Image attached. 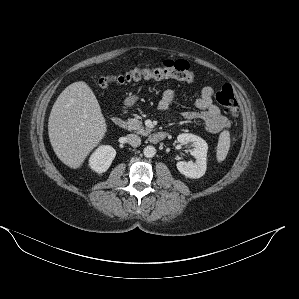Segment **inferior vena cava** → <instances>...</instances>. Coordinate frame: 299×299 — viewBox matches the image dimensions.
Instances as JSON below:
<instances>
[{
    "label": "inferior vena cava",
    "mask_w": 299,
    "mask_h": 299,
    "mask_svg": "<svg viewBox=\"0 0 299 299\" xmlns=\"http://www.w3.org/2000/svg\"><path fill=\"white\" fill-rule=\"evenodd\" d=\"M127 143L133 147H138L141 144V139L136 134H128L126 136Z\"/></svg>",
    "instance_id": "obj_1"
}]
</instances>
